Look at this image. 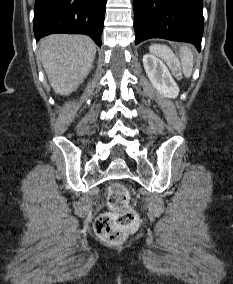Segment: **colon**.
<instances>
[{"mask_svg":"<svg viewBox=\"0 0 233 284\" xmlns=\"http://www.w3.org/2000/svg\"><path fill=\"white\" fill-rule=\"evenodd\" d=\"M151 52L166 63L176 79H182L179 60L169 47L154 44L151 46ZM107 200L110 211L97 217L95 232L106 241L118 243L123 241L127 232L136 225L137 214L129 205L128 189L121 183H114L109 187Z\"/></svg>","mask_w":233,"mask_h":284,"instance_id":"1","label":"colon"}]
</instances>
